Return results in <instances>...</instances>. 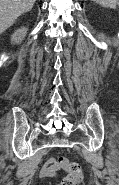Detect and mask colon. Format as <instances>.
I'll return each mask as SVG.
<instances>
[{
	"instance_id": "1",
	"label": "colon",
	"mask_w": 119,
	"mask_h": 185,
	"mask_svg": "<svg viewBox=\"0 0 119 185\" xmlns=\"http://www.w3.org/2000/svg\"><path fill=\"white\" fill-rule=\"evenodd\" d=\"M57 161L60 168L67 172L66 177L59 185H79L83 179L80 165L78 163L71 162L66 157H60Z\"/></svg>"
}]
</instances>
